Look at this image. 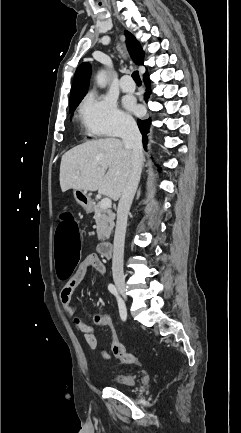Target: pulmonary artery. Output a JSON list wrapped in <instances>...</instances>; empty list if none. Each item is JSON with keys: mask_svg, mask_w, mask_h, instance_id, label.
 <instances>
[{"mask_svg": "<svg viewBox=\"0 0 241 433\" xmlns=\"http://www.w3.org/2000/svg\"><path fill=\"white\" fill-rule=\"evenodd\" d=\"M120 87L124 92H133L135 84L131 81L128 75H124L120 80Z\"/></svg>", "mask_w": 241, "mask_h": 433, "instance_id": "obj_1", "label": "pulmonary artery"}]
</instances>
